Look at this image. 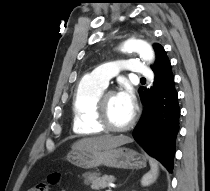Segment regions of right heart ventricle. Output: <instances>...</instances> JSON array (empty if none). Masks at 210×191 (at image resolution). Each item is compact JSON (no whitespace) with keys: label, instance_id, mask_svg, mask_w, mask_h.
<instances>
[{"label":"right heart ventricle","instance_id":"right-heart-ventricle-1","mask_svg":"<svg viewBox=\"0 0 210 191\" xmlns=\"http://www.w3.org/2000/svg\"><path fill=\"white\" fill-rule=\"evenodd\" d=\"M104 89L105 86L89 78H83L77 85L72 104L75 134L91 136L104 131L95 120L96 101Z\"/></svg>","mask_w":210,"mask_h":191}]
</instances>
